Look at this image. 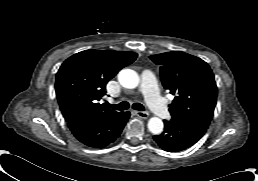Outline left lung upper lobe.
<instances>
[{"label":"left lung upper lobe","mask_w":258,"mask_h":181,"mask_svg":"<svg viewBox=\"0 0 258 181\" xmlns=\"http://www.w3.org/2000/svg\"><path fill=\"white\" fill-rule=\"evenodd\" d=\"M150 58L160 65L164 88L175 96L169 105L172 119L208 128L217 100V86L209 65L180 51Z\"/></svg>","instance_id":"1"}]
</instances>
